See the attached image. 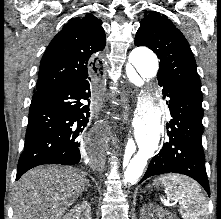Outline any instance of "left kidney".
<instances>
[{"label":"left kidney","mask_w":221,"mask_h":219,"mask_svg":"<svg viewBox=\"0 0 221 219\" xmlns=\"http://www.w3.org/2000/svg\"><path fill=\"white\" fill-rule=\"evenodd\" d=\"M140 216V219H175L171 212L152 204L143 206Z\"/></svg>","instance_id":"1"}]
</instances>
